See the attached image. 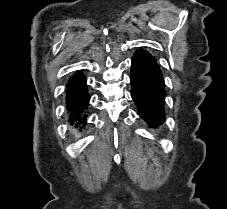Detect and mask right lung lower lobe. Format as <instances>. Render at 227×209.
Wrapping results in <instances>:
<instances>
[{"instance_id": "98d812e1", "label": "right lung lower lobe", "mask_w": 227, "mask_h": 209, "mask_svg": "<svg viewBox=\"0 0 227 209\" xmlns=\"http://www.w3.org/2000/svg\"><path fill=\"white\" fill-rule=\"evenodd\" d=\"M67 110L70 113L71 124L77 128L80 124L85 125L86 115L84 109L88 107L89 96L87 93L86 79L79 73L73 76L67 84Z\"/></svg>"}]
</instances>
